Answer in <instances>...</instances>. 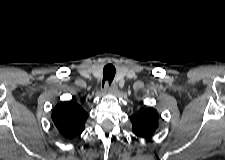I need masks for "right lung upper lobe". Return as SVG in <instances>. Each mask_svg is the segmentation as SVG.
<instances>
[{
  "label": "right lung upper lobe",
  "mask_w": 225,
  "mask_h": 160,
  "mask_svg": "<svg viewBox=\"0 0 225 160\" xmlns=\"http://www.w3.org/2000/svg\"><path fill=\"white\" fill-rule=\"evenodd\" d=\"M88 113L74 101L61 102L52 112V120L62 136L78 137L85 129Z\"/></svg>",
  "instance_id": "1"
}]
</instances>
